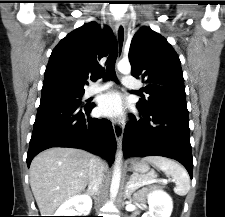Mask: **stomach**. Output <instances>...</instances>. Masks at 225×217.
<instances>
[{
    "mask_svg": "<svg viewBox=\"0 0 225 217\" xmlns=\"http://www.w3.org/2000/svg\"><path fill=\"white\" fill-rule=\"evenodd\" d=\"M150 167L143 159H132L130 160V170L134 174L144 175L149 171Z\"/></svg>",
    "mask_w": 225,
    "mask_h": 217,
    "instance_id": "obj_1",
    "label": "stomach"
}]
</instances>
